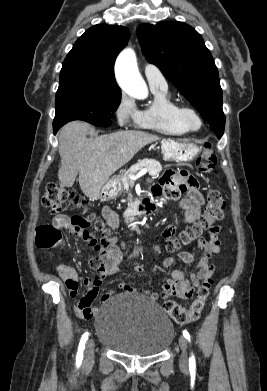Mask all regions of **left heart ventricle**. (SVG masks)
<instances>
[{
  "label": "left heart ventricle",
  "instance_id": "b2bd125f",
  "mask_svg": "<svg viewBox=\"0 0 267 391\" xmlns=\"http://www.w3.org/2000/svg\"><path fill=\"white\" fill-rule=\"evenodd\" d=\"M191 121H192L193 123H195V120H194L193 118H191Z\"/></svg>",
  "mask_w": 267,
  "mask_h": 391
}]
</instances>
